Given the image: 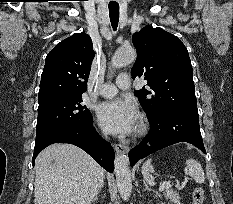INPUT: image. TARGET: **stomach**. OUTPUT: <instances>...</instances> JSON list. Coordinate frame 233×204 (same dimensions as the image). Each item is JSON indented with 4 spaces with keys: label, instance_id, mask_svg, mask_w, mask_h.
<instances>
[{
    "label": "stomach",
    "instance_id": "obj_1",
    "mask_svg": "<svg viewBox=\"0 0 233 204\" xmlns=\"http://www.w3.org/2000/svg\"><path fill=\"white\" fill-rule=\"evenodd\" d=\"M153 170V168H152V166H150V171H152Z\"/></svg>",
    "mask_w": 233,
    "mask_h": 204
}]
</instances>
